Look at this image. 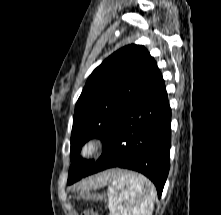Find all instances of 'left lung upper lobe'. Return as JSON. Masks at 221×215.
I'll list each match as a JSON object with an SVG mask.
<instances>
[{
	"instance_id": "5c2ea615",
	"label": "left lung upper lobe",
	"mask_w": 221,
	"mask_h": 215,
	"mask_svg": "<svg viewBox=\"0 0 221 215\" xmlns=\"http://www.w3.org/2000/svg\"><path fill=\"white\" fill-rule=\"evenodd\" d=\"M155 60L142 45H128L105 59L89 76L76 103L71 133L70 180H79L94 160L79 157L81 146L93 137L106 146L121 110L148 79Z\"/></svg>"
}]
</instances>
